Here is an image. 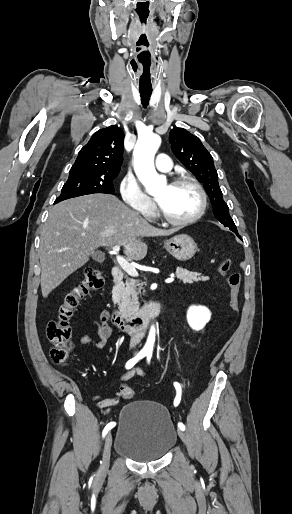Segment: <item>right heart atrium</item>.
I'll return each mask as SVG.
<instances>
[{"label":"right heart atrium","mask_w":292,"mask_h":514,"mask_svg":"<svg viewBox=\"0 0 292 514\" xmlns=\"http://www.w3.org/2000/svg\"><path fill=\"white\" fill-rule=\"evenodd\" d=\"M119 192L123 201L132 209H142L143 214L150 211L151 201L131 171L123 175L119 183Z\"/></svg>","instance_id":"d8ad5b80"}]
</instances>
